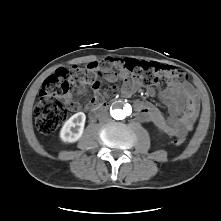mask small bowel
<instances>
[{
  "label": "small bowel",
  "instance_id": "obj_1",
  "mask_svg": "<svg viewBox=\"0 0 221 221\" xmlns=\"http://www.w3.org/2000/svg\"><path fill=\"white\" fill-rule=\"evenodd\" d=\"M124 61L118 58H110L101 66L105 81L114 83L117 80L122 81L121 92L124 96H131L137 87V82L131 78L129 73L124 69ZM115 67L118 73L112 71L111 67ZM95 96L86 105L85 108L91 109L97 105L102 99L99 90L100 82L92 87ZM86 89L77 91V95H82ZM148 94L154 96L156 91L154 88H148ZM159 98L168 107L169 117H165L163 113L153 104L137 100L135 108L138 117L142 121L151 122L161 132L169 135L182 137L191 131L198 118L199 102L193 88L186 82L175 83L169 88L159 93ZM69 108L73 110L81 109V105L70 101Z\"/></svg>",
  "mask_w": 221,
  "mask_h": 221
}]
</instances>
